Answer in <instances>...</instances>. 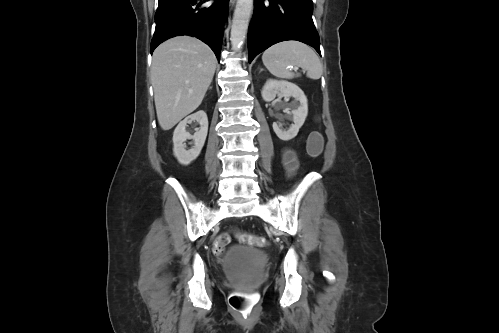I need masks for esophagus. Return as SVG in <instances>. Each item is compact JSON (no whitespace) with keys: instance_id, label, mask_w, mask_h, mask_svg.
<instances>
[{"instance_id":"esophagus-1","label":"esophagus","mask_w":499,"mask_h":333,"mask_svg":"<svg viewBox=\"0 0 499 333\" xmlns=\"http://www.w3.org/2000/svg\"><path fill=\"white\" fill-rule=\"evenodd\" d=\"M234 3H235V0H230L231 6H233Z\"/></svg>"}]
</instances>
